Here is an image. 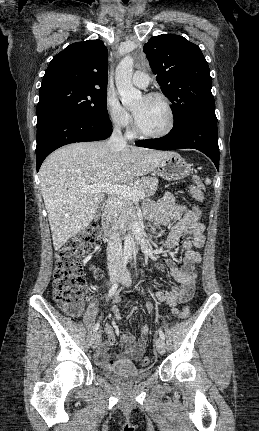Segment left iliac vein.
<instances>
[{"mask_svg":"<svg viewBox=\"0 0 259 431\" xmlns=\"http://www.w3.org/2000/svg\"><path fill=\"white\" fill-rule=\"evenodd\" d=\"M121 283L125 286H129L131 283V278L128 270H125L121 279ZM156 349L160 354H164L166 350L165 341L159 337L156 339Z\"/></svg>","mask_w":259,"mask_h":431,"instance_id":"left-iliac-vein-1","label":"left iliac vein"}]
</instances>
